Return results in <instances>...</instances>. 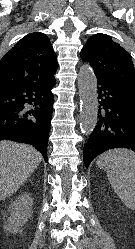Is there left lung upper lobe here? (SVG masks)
Here are the masks:
<instances>
[{"mask_svg": "<svg viewBox=\"0 0 135 249\" xmlns=\"http://www.w3.org/2000/svg\"><path fill=\"white\" fill-rule=\"evenodd\" d=\"M83 62L93 68L97 79L135 89V68L131 55L112 37L97 33L81 50Z\"/></svg>", "mask_w": 135, "mask_h": 249, "instance_id": "1", "label": "left lung upper lobe"}]
</instances>
